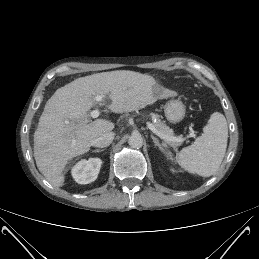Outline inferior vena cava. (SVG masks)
<instances>
[{"instance_id": "inferior-vena-cava-1", "label": "inferior vena cava", "mask_w": 259, "mask_h": 259, "mask_svg": "<svg viewBox=\"0 0 259 259\" xmlns=\"http://www.w3.org/2000/svg\"><path fill=\"white\" fill-rule=\"evenodd\" d=\"M114 135L115 134L113 132L104 133L101 136L92 140L91 145L99 148L107 147L112 143Z\"/></svg>"}]
</instances>
